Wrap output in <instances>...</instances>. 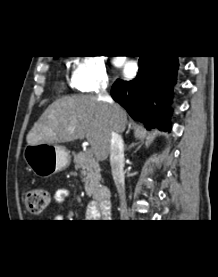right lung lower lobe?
Segmentation results:
<instances>
[{"instance_id":"1","label":"right lung lower lobe","mask_w":218,"mask_h":277,"mask_svg":"<svg viewBox=\"0 0 218 277\" xmlns=\"http://www.w3.org/2000/svg\"><path fill=\"white\" fill-rule=\"evenodd\" d=\"M177 69L178 56H140L137 77L129 82L117 80L111 95L133 119L146 126L152 123L159 129L169 130L170 112L164 102L172 98Z\"/></svg>"}]
</instances>
